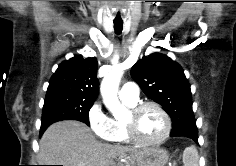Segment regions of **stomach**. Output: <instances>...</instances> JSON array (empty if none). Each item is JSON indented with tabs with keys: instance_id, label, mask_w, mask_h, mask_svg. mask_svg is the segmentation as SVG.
<instances>
[{
	"instance_id": "1",
	"label": "stomach",
	"mask_w": 236,
	"mask_h": 166,
	"mask_svg": "<svg viewBox=\"0 0 236 166\" xmlns=\"http://www.w3.org/2000/svg\"><path fill=\"white\" fill-rule=\"evenodd\" d=\"M169 155L165 149L154 147L143 150L140 160L129 166H166ZM120 166H126L121 164Z\"/></svg>"
}]
</instances>
